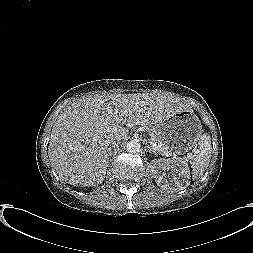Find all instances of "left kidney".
<instances>
[{
  "mask_svg": "<svg viewBox=\"0 0 253 253\" xmlns=\"http://www.w3.org/2000/svg\"><path fill=\"white\" fill-rule=\"evenodd\" d=\"M154 178L162 188H172L180 191L185 189L190 183V170L188 164L181 159H158L153 160ZM171 170V177L167 179L162 171Z\"/></svg>",
  "mask_w": 253,
  "mask_h": 253,
  "instance_id": "1",
  "label": "left kidney"
}]
</instances>
